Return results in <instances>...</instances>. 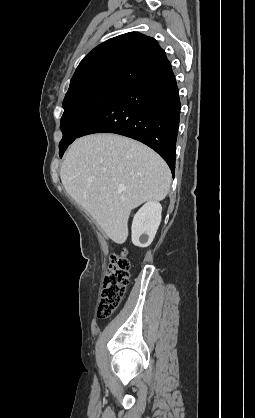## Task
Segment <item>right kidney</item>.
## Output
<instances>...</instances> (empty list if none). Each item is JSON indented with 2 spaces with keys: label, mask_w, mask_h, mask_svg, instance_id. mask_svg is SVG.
Listing matches in <instances>:
<instances>
[{
  "label": "right kidney",
  "mask_w": 255,
  "mask_h": 418,
  "mask_svg": "<svg viewBox=\"0 0 255 418\" xmlns=\"http://www.w3.org/2000/svg\"><path fill=\"white\" fill-rule=\"evenodd\" d=\"M162 206L148 201L135 214L132 222V242L139 247H147L153 241L161 222Z\"/></svg>",
  "instance_id": "obj_1"
}]
</instances>
